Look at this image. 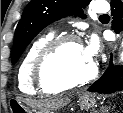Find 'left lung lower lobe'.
<instances>
[{"label":"left lung lower lobe","instance_id":"1","mask_svg":"<svg viewBox=\"0 0 123 113\" xmlns=\"http://www.w3.org/2000/svg\"><path fill=\"white\" fill-rule=\"evenodd\" d=\"M111 7L112 28L116 33H119L123 30V0H111ZM117 90H123V66H114L111 57L108 69L88 88V91L112 93Z\"/></svg>","mask_w":123,"mask_h":113}]
</instances>
